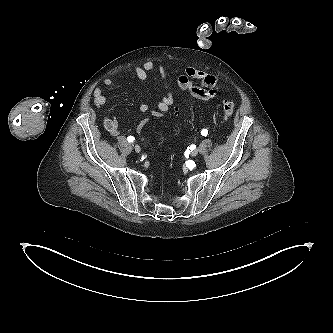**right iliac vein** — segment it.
<instances>
[{"instance_id": "63e3f726", "label": "right iliac vein", "mask_w": 333, "mask_h": 333, "mask_svg": "<svg viewBox=\"0 0 333 333\" xmlns=\"http://www.w3.org/2000/svg\"><path fill=\"white\" fill-rule=\"evenodd\" d=\"M134 149H135V151H136L137 153H139V152L141 151V148H140L139 145H135V146H134Z\"/></svg>"}]
</instances>
